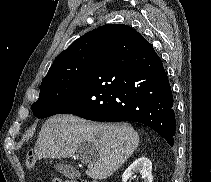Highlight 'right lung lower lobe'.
<instances>
[{"label":"right lung lower lobe","mask_w":211,"mask_h":182,"mask_svg":"<svg viewBox=\"0 0 211 182\" xmlns=\"http://www.w3.org/2000/svg\"><path fill=\"white\" fill-rule=\"evenodd\" d=\"M104 122L147 125L170 146L176 131L173 96L153 46L133 43L123 26H105L98 35L86 80L57 114Z\"/></svg>","instance_id":"right-lung-lower-lobe-1"}]
</instances>
